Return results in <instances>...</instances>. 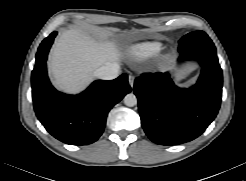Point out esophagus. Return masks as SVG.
<instances>
[{
    "mask_svg": "<svg viewBox=\"0 0 246 181\" xmlns=\"http://www.w3.org/2000/svg\"><path fill=\"white\" fill-rule=\"evenodd\" d=\"M135 77L133 75L128 76V82L131 88H133Z\"/></svg>",
    "mask_w": 246,
    "mask_h": 181,
    "instance_id": "esophagus-1",
    "label": "esophagus"
}]
</instances>
